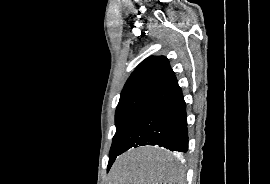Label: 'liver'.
Listing matches in <instances>:
<instances>
[{
  "mask_svg": "<svg viewBox=\"0 0 270 184\" xmlns=\"http://www.w3.org/2000/svg\"><path fill=\"white\" fill-rule=\"evenodd\" d=\"M158 147L144 146L117 157L109 173V184H185V175Z\"/></svg>",
  "mask_w": 270,
  "mask_h": 184,
  "instance_id": "liver-1",
  "label": "liver"
}]
</instances>
